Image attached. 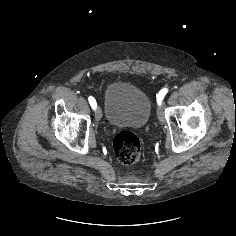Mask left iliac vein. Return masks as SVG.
<instances>
[{
    "label": "left iliac vein",
    "mask_w": 236,
    "mask_h": 236,
    "mask_svg": "<svg viewBox=\"0 0 236 236\" xmlns=\"http://www.w3.org/2000/svg\"><path fill=\"white\" fill-rule=\"evenodd\" d=\"M157 116H158V119L160 120V122H165V116H164V113L161 109V107H158V110H157Z\"/></svg>",
    "instance_id": "4c4485c4"
}]
</instances>
